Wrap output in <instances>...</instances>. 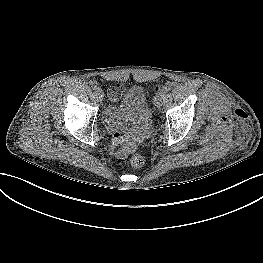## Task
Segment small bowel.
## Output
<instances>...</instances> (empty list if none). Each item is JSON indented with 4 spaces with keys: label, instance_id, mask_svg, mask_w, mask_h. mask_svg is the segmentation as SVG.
I'll use <instances>...</instances> for the list:
<instances>
[{
    "label": "small bowel",
    "instance_id": "c3829d8e",
    "mask_svg": "<svg viewBox=\"0 0 263 263\" xmlns=\"http://www.w3.org/2000/svg\"><path fill=\"white\" fill-rule=\"evenodd\" d=\"M125 77H126V76H122V78H125ZM124 142H125V143H127L128 141H127V140H125Z\"/></svg>",
    "mask_w": 263,
    "mask_h": 263
}]
</instances>
